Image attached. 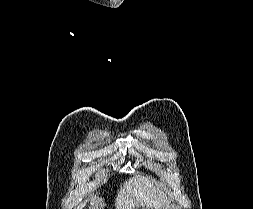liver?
<instances>
[{
  "instance_id": "6515ba94",
  "label": "liver",
  "mask_w": 253,
  "mask_h": 209,
  "mask_svg": "<svg viewBox=\"0 0 253 209\" xmlns=\"http://www.w3.org/2000/svg\"><path fill=\"white\" fill-rule=\"evenodd\" d=\"M161 184L143 176H134L121 186L117 197V209H160L168 205L170 200L160 189Z\"/></svg>"
}]
</instances>
